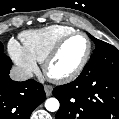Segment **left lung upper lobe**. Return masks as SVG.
I'll return each instance as SVG.
<instances>
[{
	"instance_id": "1",
	"label": "left lung upper lobe",
	"mask_w": 119,
	"mask_h": 119,
	"mask_svg": "<svg viewBox=\"0 0 119 119\" xmlns=\"http://www.w3.org/2000/svg\"><path fill=\"white\" fill-rule=\"evenodd\" d=\"M89 37L94 41V43L96 44V48L95 50L93 51V54L91 55V57L99 54L104 48L108 47L109 44L104 42V41H101L99 39H96L95 37H93L92 35L88 34Z\"/></svg>"
}]
</instances>
